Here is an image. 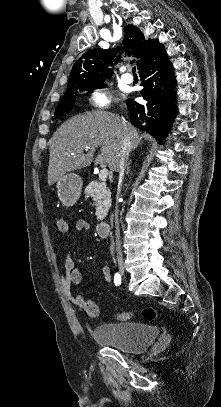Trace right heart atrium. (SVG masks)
<instances>
[{
  "instance_id": "1",
  "label": "right heart atrium",
  "mask_w": 221,
  "mask_h": 407,
  "mask_svg": "<svg viewBox=\"0 0 221 407\" xmlns=\"http://www.w3.org/2000/svg\"><path fill=\"white\" fill-rule=\"evenodd\" d=\"M88 101L93 108L104 110L112 105L113 96L107 88L96 87L89 92Z\"/></svg>"
}]
</instances>
